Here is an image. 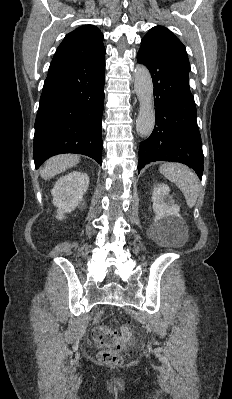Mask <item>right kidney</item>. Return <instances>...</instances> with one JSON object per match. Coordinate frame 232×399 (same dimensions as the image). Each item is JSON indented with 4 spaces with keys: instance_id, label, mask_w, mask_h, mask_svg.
<instances>
[{
    "instance_id": "obj_1",
    "label": "right kidney",
    "mask_w": 232,
    "mask_h": 399,
    "mask_svg": "<svg viewBox=\"0 0 232 399\" xmlns=\"http://www.w3.org/2000/svg\"><path fill=\"white\" fill-rule=\"evenodd\" d=\"M89 186V176L83 172H71L57 180L51 194L53 203L58 207L57 219H63L64 213H70L77 205L85 209L86 203L83 200Z\"/></svg>"
}]
</instances>
